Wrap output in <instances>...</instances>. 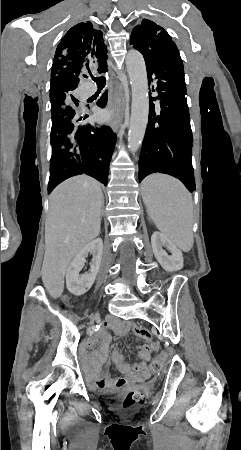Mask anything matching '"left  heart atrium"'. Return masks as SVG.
Wrapping results in <instances>:
<instances>
[{
  "label": "left heart atrium",
  "mask_w": 241,
  "mask_h": 450,
  "mask_svg": "<svg viewBox=\"0 0 241 450\" xmlns=\"http://www.w3.org/2000/svg\"><path fill=\"white\" fill-rule=\"evenodd\" d=\"M108 118H109V113H108V112H105V113H104V119L107 120Z\"/></svg>",
  "instance_id": "left-heart-atrium-1"
}]
</instances>
